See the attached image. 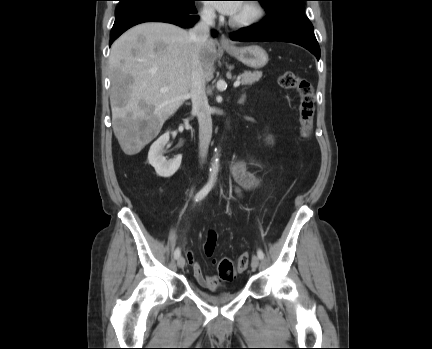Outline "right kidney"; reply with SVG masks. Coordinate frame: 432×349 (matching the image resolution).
<instances>
[{"mask_svg": "<svg viewBox=\"0 0 432 349\" xmlns=\"http://www.w3.org/2000/svg\"><path fill=\"white\" fill-rule=\"evenodd\" d=\"M169 141V132L160 136L150 147L148 152V162L154 167L157 175L161 177H171L179 169L182 156L179 155L171 160L164 156V147Z\"/></svg>", "mask_w": 432, "mask_h": 349, "instance_id": "ca27d5eb", "label": "right kidney"}]
</instances>
